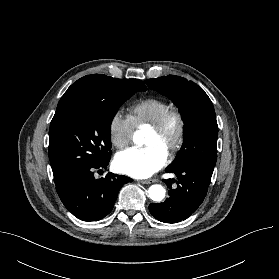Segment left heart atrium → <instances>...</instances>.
I'll return each mask as SVG.
<instances>
[{
    "instance_id": "1",
    "label": "left heart atrium",
    "mask_w": 279,
    "mask_h": 279,
    "mask_svg": "<svg viewBox=\"0 0 279 279\" xmlns=\"http://www.w3.org/2000/svg\"><path fill=\"white\" fill-rule=\"evenodd\" d=\"M167 161V153L160 147L148 145L131 147L119 152L114 160L115 168L134 178H147L160 170Z\"/></svg>"
}]
</instances>
